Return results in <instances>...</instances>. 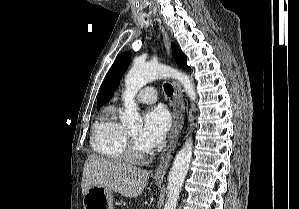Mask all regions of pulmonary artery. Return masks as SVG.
<instances>
[{
    "instance_id": "e3ab8cb5",
    "label": "pulmonary artery",
    "mask_w": 299,
    "mask_h": 209,
    "mask_svg": "<svg viewBox=\"0 0 299 209\" xmlns=\"http://www.w3.org/2000/svg\"><path fill=\"white\" fill-rule=\"evenodd\" d=\"M134 98L139 103L152 104L157 101V92L154 87L148 86L136 93Z\"/></svg>"
}]
</instances>
